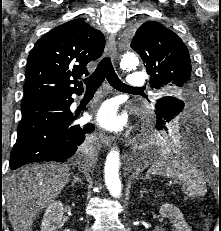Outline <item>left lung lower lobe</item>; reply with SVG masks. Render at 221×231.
<instances>
[{
    "mask_svg": "<svg viewBox=\"0 0 221 231\" xmlns=\"http://www.w3.org/2000/svg\"><path fill=\"white\" fill-rule=\"evenodd\" d=\"M171 100V97L164 96L158 101L166 102ZM185 106V105H184ZM166 115V114H164ZM174 117L164 116L162 119H158L156 126L160 129H166V123L172 120ZM174 144H180L184 146L187 151L192 154L204 153L203 150V130L200 119L197 114H193L189 118V122L181 130L169 131L166 136Z\"/></svg>",
    "mask_w": 221,
    "mask_h": 231,
    "instance_id": "1",
    "label": "left lung lower lobe"
}]
</instances>
